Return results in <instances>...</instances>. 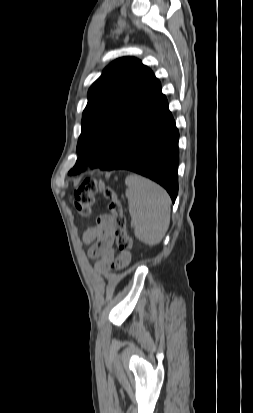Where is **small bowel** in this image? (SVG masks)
<instances>
[{
	"instance_id": "1",
	"label": "small bowel",
	"mask_w": 253,
	"mask_h": 413,
	"mask_svg": "<svg viewBox=\"0 0 253 413\" xmlns=\"http://www.w3.org/2000/svg\"><path fill=\"white\" fill-rule=\"evenodd\" d=\"M83 240L89 245V255L96 259L95 269L98 271L119 270L131 261L130 253L115 256L112 222L108 214H102L97 218L96 224L84 232Z\"/></svg>"
}]
</instances>
